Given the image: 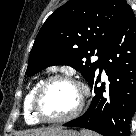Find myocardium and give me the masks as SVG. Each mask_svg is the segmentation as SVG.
<instances>
[{
	"label": "myocardium",
	"instance_id": "myocardium-1",
	"mask_svg": "<svg viewBox=\"0 0 136 136\" xmlns=\"http://www.w3.org/2000/svg\"><path fill=\"white\" fill-rule=\"evenodd\" d=\"M54 81H64V82L70 83L78 91V102L76 107L69 114L63 117H58V118L46 117L41 113L39 109V101H40L42 93L44 92L46 87L51 82H54ZM85 96H86L85 86L73 76L67 75V74L51 75L45 78L43 81H41L38 87L36 88L32 97V101H31V110L35 118L40 122L51 123V124L65 123L75 119L81 113L84 107Z\"/></svg>",
	"mask_w": 136,
	"mask_h": 136
}]
</instances>
